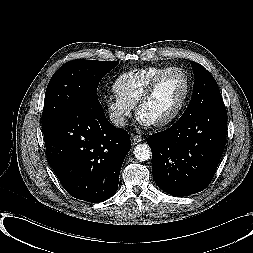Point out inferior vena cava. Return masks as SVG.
<instances>
[{
	"instance_id": "obj_1",
	"label": "inferior vena cava",
	"mask_w": 253,
	"mask_h": 253,
	"mask_svg": "<svg viewBox=\"0 0 253 253\" xmlns=\"http://www.w3.org/2000/svg\"><path fill=\"white\" fill-rule=\"evenodd\" d=\"M110 120L111 122L115 125V126H125L127 123V120L125 119L124 116H120V115H111L110 116Z\"/></svg>"
}]
</instances>
